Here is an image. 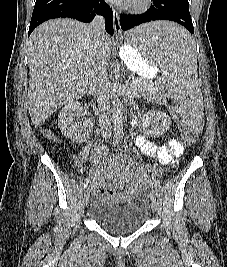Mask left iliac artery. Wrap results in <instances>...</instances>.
I'll use <instances>...</instances> for the list:
<instances>
[{"mask_svg":"<svg viewBox=\"0 0 227 267\" xmlns=\"http://www.w3.org/2000/svg\"><path fill=\"white\" fill-rule=\"evenodd\" d=\"M150 187L152 188V190H153V188H154V186H153V184L150 182Z\"/></svg>","mask_w":227,"mask_h":267,"instance_id":"obj_1","label":"left iliac artery"}]
</instances>
